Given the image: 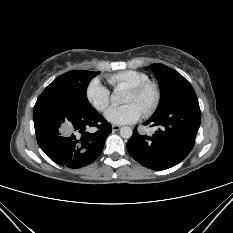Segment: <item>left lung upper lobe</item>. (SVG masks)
<instances>
[{"label": "left lung upper lobe", "mask_w": 233, "mask_h": 233, "mask_svg": "<svg viewBox=\"0 0 233 233\" xmlns=\"http://www.w3.org/2000/svg\"><path fill=\"white\" fill-rule=\"evenodd\" d=\"M151 69L159 82L161 93L158 107L152 115L155 117L160 115L171 104L179 91L190 83L180 73L164 64H152Z\"/></svg>", "instance_id": "obj_1"}]
</instances>
